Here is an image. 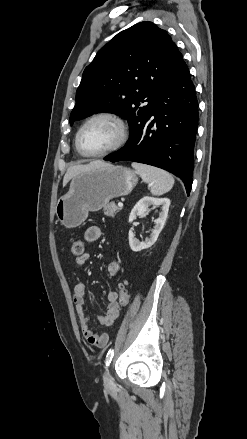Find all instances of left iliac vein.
I'll return each instance as SVG.
<instances>
[{
	"mask_svg": "<svg viewBox=\"0 0 247 439\" xmlns=\"http://www.w3.org/2000/svg\"><path fill=\"white\" fill-rule=\"evenodd\" d=\"M103 380H104V386L106 388H111L113 386V379H112V376L110 374L109 369H106L104 376H103Z\"/></svg>",
	"mask_w": 247,
	"mask_h": 439,
	"instance_id": "left-iliac-vein-1",
	"label": "left iliac vein"
}]
</instances>
